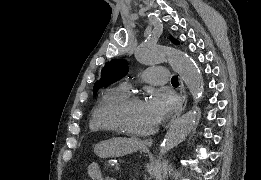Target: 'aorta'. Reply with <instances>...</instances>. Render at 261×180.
Instances as JSON below:
<instances>
[{
  "label": "aorta",
  "instance_id": "obj_1",
  "mask_svg": "<svg viewBox=\"0 0 261 180\" xmlns=\"http://www.w3.org/2000/svg\"><path fill=\"white\" fill-rule=\"evenodd\" d=\"M136 59L143 64L152 65L168 61L189 89L194 103H198L204 90L203 77L194 61L184 52L166 46L142 44L135 53ZM196 122L195 109L178 118L167 131L160 147L163 155L183 142Z\"/></svg>",
  "mask_w": 261,
  "mask_h": 180
}]
</instances>
